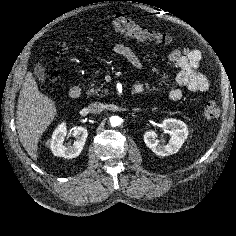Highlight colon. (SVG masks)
I'll list each match as a JSON object with an SVG mask.
<instances>
[{
  "mask_svg": "<svg viewBox=\"0 0 236 236\" xmlns=\"http://www.w3.org/2000/svg\"><path fill=\"white\" fill-rule=\"evenodd\" d=\"M110 24L113 30L119 34L128 36L140 42H154L158 44H168L171 38L166 34H161L150 30L135 22L132 18L124 14H114L110 18ZM57 51L60 54H67L70 51L68 44L61 42L57 45ZM57 78V73L52 72L50 79ZM220 110L218 105L213 101L205 103L202 115L205 119L211 120L219 116Z\"/></svg>",
  "mask_w": 236,
  "mask_h": 236,
  "instance_id": "5ec220e1",
  "label": "colon"
}]
</instances>
